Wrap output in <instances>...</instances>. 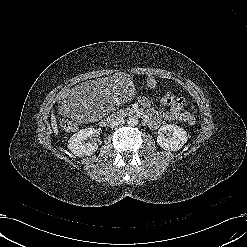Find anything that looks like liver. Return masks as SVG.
Returning a JSON list of instances; mask_svg holds the SVG:
<instances>
[{
  "mask_svg": "<svg viewBox=\"0 0 247 247\" xmlns=\"http://www.w3.org/2000/svg\"><path fill=\"white\" fill-rule=\"evenodd\" d=\"M51 126H52V129L54 131V134L55 135H58V133H59V131H58V125H57V122H56V118L53 115L51 117Z\"/></svg>",
  "mask_w": 247,
  "mask_h": 247,
  "instance_id": "obj_1",
  "label": "liver"
}]
</instances>
